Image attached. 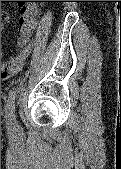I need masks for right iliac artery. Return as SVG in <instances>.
I'll return each mask as SVG.
<instances>
[{"label": "right iliac artery", "mask_w": 121, "mask_h": 169, "mask_svg": "<svg viewBox=\"0 0 121 169\" xmlns=\"http://www.w3.org/2000/svg\"><path fill=\"white\" fill-rule=\"evenodd\" d=\"M14 100H15V90H11L9 93V99L5 108L6 111V120L10 128L15 126V115H14Z\"/></svg>", "instance_id": "right-iliac-artery-1"}]
</instances>
